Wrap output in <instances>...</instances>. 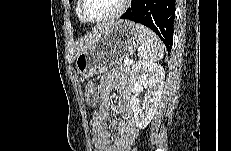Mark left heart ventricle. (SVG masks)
Returning a JSON list of instances; mask_svg holds the SVG:
<instances>
[{"label":"left heart ventricle","mask_w":231,"mask_h":151,"mask_svg":"<svg viewBox=\"0 0 231 151\" xmlns=\"http://www.w3.org/2000/svg\"><path fill=\"white\" fill-rule=\"evenodd\" d=\"M122 0H85L84 15L92 20L100 19L115 13Z\"/></svg>","instance_id":"1"}]
</instances>
